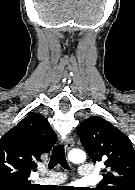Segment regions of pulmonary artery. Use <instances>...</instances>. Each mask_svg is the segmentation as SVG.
I'll list each match as a JSON object with an SVG mask.
<instances>
[{
	"label": "pulmonary artery",
	"mask_w": 135,
	"mask_h": 190,
	"mask_svg": "<svg viewBox=\"0 0 135 190\" xmlns=\"http://www.w3.org/2000/svg\"><path fill=\"white\" fill-rule=\"evenodd\" d=\"M93 166L88 163H82L78 168V175L80 178L89 179L93 176ZM48 175V177H41L37 180L40 184H56L61 183L66 179V176L60 172H44Z\"/></svg>",
	"instance_id": "obj_1"
}]
</instances>
